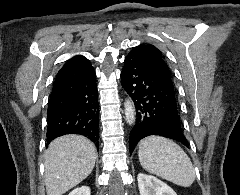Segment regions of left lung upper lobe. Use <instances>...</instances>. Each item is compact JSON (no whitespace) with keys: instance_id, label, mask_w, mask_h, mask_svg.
Wrapping results in <instances>:
<instances>
[{"instance_id":"obj_1","label":"left lung upper lobe","mask_w":240,"mask_h":195,"mask_svg":"<svg viewBox=\"0 0 240 195\" xmlns=\"http://www.w3.org/2000/svg\"><path fill=\"white\" fill-rule=\"evenodd\" d=\"M129 56L133 58H140L145 63L153 66L156 68L160 73L168 77L169 79H172V73L163 59V56L156 47L150 44H143L134 47L131 52L128 54Z\"/></svg>"}]
</instances>
